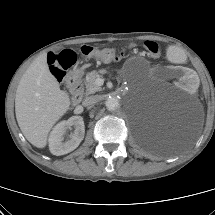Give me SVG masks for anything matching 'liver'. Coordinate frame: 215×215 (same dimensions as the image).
Returning a JSON list of instances; mask_svg holds the SVG:
<instances>
[{
  "label": "liver",
  "instance_id": "liver-1",
  "mask_svg": "<svg viewBox=\"0 0 215 215\" xmlns=\"http://www.w3.org/2000/svg\"><path fill=\"white\" fill-rule=\"evenodd\" d=\"M70 104L68 94L60 90L48 68L47 54L38 56L21 77L16 90V119L25 138L37 148H44L50 130Z\"/></svg>",
  "mask_w": 215,
  "mask_h": 215
}]
</instances>
